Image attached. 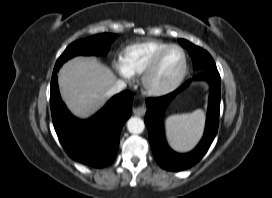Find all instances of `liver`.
<instances>
[{
  "label": "liver",
  "instance_id": "6515ba94",
  "mask_svg": "<svg viewBox=\"0 0 272 198\" xmlns=\"http://www.w3.org/2000/svg\"><path fill=\"white\" fill-rule=\"evenodd\" d=\"M58 82L69 110L85 119L106 102L107 91L116 82V76L93 57H76L60 69Z\"/></svg>",
  "mask_w": 272,
  "mask_h": 198
}]
</instances>
